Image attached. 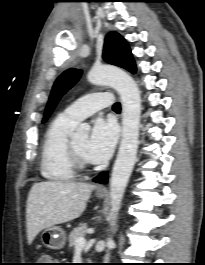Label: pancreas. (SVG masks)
Returning a JSON list of instances; mask_svg holds the SVG:
<instances>
[{
	"label": "pancreas",
	"instance_id": "1",
	"mask_svg": "<svg viewBox=\"0 0 205 265\" xmlns=\"http://www.w3.org/2000/svg\"><path fill=\"white\" fill-rule=\"evenodd\" d=\"M86 231H87L86 223H82L78 227L74 228L69 234V247H74L76 244V239L78 237L85 236Z\"/></svg>",
	"mask_w": 205,
	"mask_h": 265
}]
</instances>
